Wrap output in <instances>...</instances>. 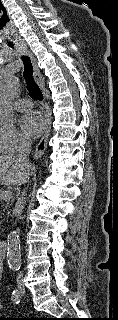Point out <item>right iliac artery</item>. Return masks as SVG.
<instances>
[{"label":"right iliac artery","mask_w":118,"mask_h":320,"mask_svg":"<svg viewBox=\"0 0 118 320\" xmlns=\"http://www.w3.org/2000/svg\"><path fill=\"white\" fill-rule=\"evenodd\" d=\"M20 298H21V294H20V291L18 289H15L13 292H12V296H11V299L14 303L18 304L20 302Z\"/></svg>","instance_id":"right-iliac-artery-1"}]
</instances>
